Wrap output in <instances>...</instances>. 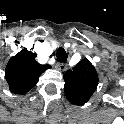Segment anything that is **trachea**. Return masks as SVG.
<instances>
[{
  "mask_svg": "<svg viewBox=\"0 0 124 124\" xmlns=\"http://www.w3.org/2000/svg\"><path fill=\"white\" fill-rule=\"evenodd\" d=\"M56 55H57V60L60 63L67 61L68 56H67L66 51L63 48H59Z\"/></svg>",
  "mask_w": 124,
  "mask_h": 124,
  "instance_id": "1",
  "label": "trachea"
}]
</instances>
